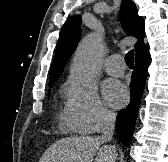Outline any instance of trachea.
Here are the masks:
<instances>
[{"mask_svg": "<svg viewBox=\"0 0 168 162\" xmlns=\"http://www.w3.org/2000/svg\"><path fill=\"white\" fill-rule=\"evenodd\" d=\"M125 61L129 67H134V51H129L125 56Z\"/></svg>", "mask_w": 168, "mask_h": 162, "instance_id": "trachea-1", "label": "trachea"}]
</instances>
